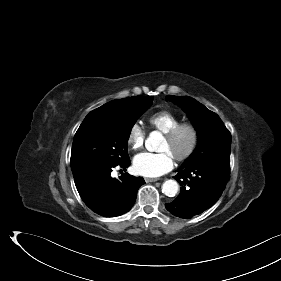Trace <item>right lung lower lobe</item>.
Instances as JSON below:
<instances>
[{"label": "right lung lower lobe", "instance_id": "98d812e1", "mask_svg": "<svg viewBox=\"0 0 281 281\" xmlns=\"http://www.w3.org/2000/svg\"><path fill=\"white\" fill-rule=\"evenodd\" d=\"M130 159L119 163L123 169ZM114 164H94L72 170L76 188L85 204L95 213L114 217L131 209L137 191L145 183L142 177L124 174L120 179L110 176Z\"/></svg>", "mask_w": 281, "mask_h": 281}]
</instances>
